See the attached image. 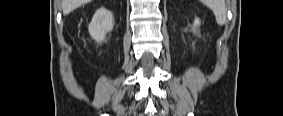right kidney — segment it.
<instances>
[{
    "instance_id": "ca27d5eb",
    "label": "right kidney",
    "mask_w": 283,
    "mask_h": 116,
    "mask_svg": "<svg viewBox=\"0 0 283 116\" xmlns=\"http://www.w3.org/2000/svg\"><path fill=\"white\" fill-rule=\"evenodd\" d=\"M113 15L104 7L98 9L92 17L88 31L97 42L105 40L106 33L113 29Z\"/></svg>"
}]
</instances>
